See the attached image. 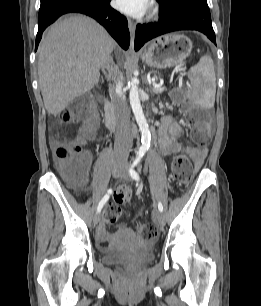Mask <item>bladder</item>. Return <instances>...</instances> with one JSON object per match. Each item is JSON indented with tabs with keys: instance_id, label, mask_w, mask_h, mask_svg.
Segmentation results:
<instances>
[{
	"instance_id": "1",
	"label": "bladder",
	"mask_w": 261,
	"mask_h": 306,
	"mask_svg": "<svg viewBox=\"0 0 261 306\" xmlns=\"http://www.w3.org/2000/svg\"><path fill=\"white\" fill-rule=\"evenodd\" d=\"M127 236L134 239L138 237L130 229H124L117 233L116 240L108 247L102 250L101 260L104 264L118 265L127 263L133 266H142L151 262L154 258V244L141 241L137 246L124 245Z\"/></svg>"
}]
</instances>
